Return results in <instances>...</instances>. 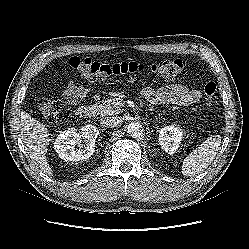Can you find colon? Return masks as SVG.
<instances>
[{"instance_id":"1","label":"colon","mask_w":249,"mask_h":249,"mask_svg":"<svg viewBox=\"0 0 249 249\" xmlns=\"http://www.w3.org/2000/svg\"><path fill=\"white\" fill-rule=\"evenodd\" d=\"M70 67L90 81H100L111 76L134 75L152 73L163 79H172L180 74L186 67L183 59H168L152 64H144L135 61H123L117 63H101L91 58H80L73 56L69 58ZM216 84L208 82L203 88L205 100L208 104L213 102L216 93ZM42 116L48 122H55L62 110L61 102L52 99H42L38 102Z\"/></svg>"}]
</instances>
